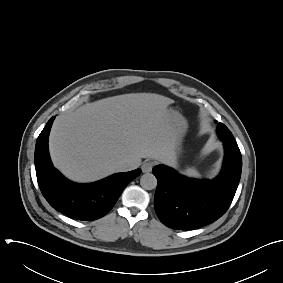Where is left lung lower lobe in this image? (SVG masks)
<instances>
[{"label":"left lung lower lobe","mask_w":283,"mask_h":283,"mask_svg":"<svg viewBox=\"0 0 283 283\" xmlns=\"http://www.w3.org/2000/svg\"><path fill=\"white\" fill-rule=\"evenodd\" d=\"M222 141L223 168L213 180L189 179L165 166L153 168L158 180L154 206L164 225L177 230L197 229L226 212L240 181L242 157L237 144Z\"/></svg>","instance_id":"obj_1"}]
</instances>
